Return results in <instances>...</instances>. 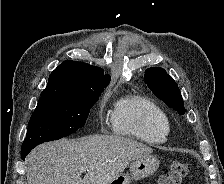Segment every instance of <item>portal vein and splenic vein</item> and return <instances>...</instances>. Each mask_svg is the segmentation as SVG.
<instances>
[{"label":"portal vein and splenic vein","instance_id":"portal-vein-and-splenic-vein-1","mask_svg":"<svg viewBox=\"0 0 224 184\" xmlns=\"http://www.w3.org/2000/svg\"><path fill=\"white\" fill-rule=\"evenodd\" d=\"M80 171H88V168H86V167H81V168H80Z\"/></svg>","mask_w":224,"mask_h":184}]
</instances>
